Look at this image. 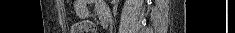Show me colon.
<instances>
[{
    "mask_svg": "<svg viewBox=\"0 0 235 33\" xmlns=\"http://www.w3.org/2000/svg\"><path fill=\"white\" fill-rule=\"evenodd\" d=\"M94 32V26L89 21H80L73 25L72 27V33H93Z\"/></svg>",
    "mask_w": 235,
    "mask_h": 33,
    "instance_id": "obj_1",
    "label": "colon"
}]
</instances>
